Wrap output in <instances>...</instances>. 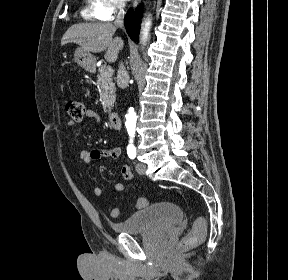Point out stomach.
Masks as SVG:
<instances>
[{"mask_svg": "<svg viewBox=\"0 0 288 280\" xmlns=\"http://www.w3.org/2000/svg\"><path fill=\"white\" fill-rule=\"evenodd\" d=\"M75 62L86 70H93L96 64V58L88 51L78 47L74 52Z\"/></svg>", "mask_w": 288, "mask_h": 280, "instance_id": "0dacf381", "label": "stomach"}]
</instances>
